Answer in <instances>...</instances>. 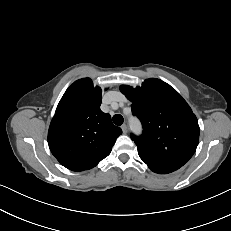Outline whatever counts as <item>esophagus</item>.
<instances>
[{
    "mask_svg": "<svg viewBox=\"0 0 231 231\" xmlns=\"http://www.w3.org/2000/svg\"><path fill=\"white\" fill-rule=\"evenodd\" d=\"M121 128H122V131H123L124 134H126V133L128 132V129H127V125H126V124H123V125L121 126Z\"/></svg>",
    "mask_w": 231,
    "mask_h": 231,
    "instance_id": "1",
    "label": "esophagus"
}]
</instances>
